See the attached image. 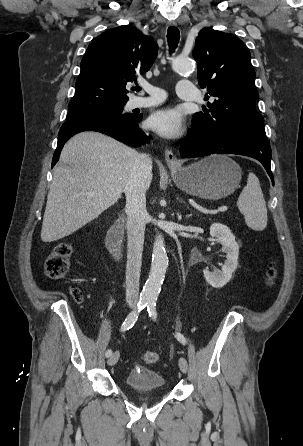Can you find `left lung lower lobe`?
<instances>
[{
  "mask_svg": "<svg viewBox=\"0 0 303 446\" xmlns=\"http://www.w3.org/2000/svg\"><path fill=\"white\" fill-rule=\"evenodd\" d=\"M183 158L210 154H238L257 159L265 167L272 183L271 147L267 139L236 136L229 132L193 127L181 144Z\"/></svg>",
  "mask_w": 303,
  "mask_h": 446,
  "instance_id": "0a47b994",
  "label": "left lung lower lobe"
}]
</instances>
